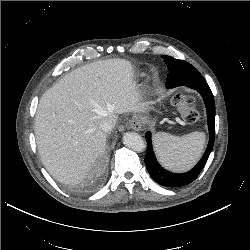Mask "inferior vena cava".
<instances>
[{"label":"inferior vena cava","mask_w":250,"mask_h":250,"mask_svg":"<svg viewBox=\"0 0 250 250\" xmlns=\"http://www.w3.org/2000/svg\"><path fill=\"white\" fill-rule=\"evenodd\" d=\"M112 127H113V121L110 119L103 120L99 125V128L104 132H109L112 129Z\"/></svg>","instance_id":"obj_1"}]
</instances>
